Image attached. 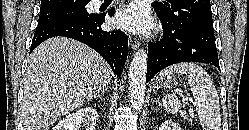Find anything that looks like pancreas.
<instances>
[{
  "label": "pancreas",
  "mask_w": 249,
  "mask_h": 130,
  "mask_svg": "<svg viewBox=\"0 0 249 130\" xmlns=\"http://www.w3.org/2000/svg\"><path fill=\"white\" fill-rule=\"evenodd\" d=\"M181 116H182L183 118H185V119L191 121V119L189 118V116L186 115V112H185V111L181 112Z\"/></svg>",
  "instance_id": "obj_1"
}]
</instances>
